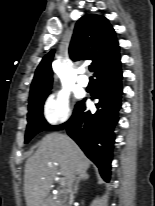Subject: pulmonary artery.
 Instances as JSON below:
<instances>
[{"mask_svg": "<svg viewBox=\"0 0 155 206\" xmlns=\"http://www.w3.org/2000/svg\"><path fill=\"white\" fill-rule=\"evenodd\" d=\"M79 85L86 87L89 84V79L88 77L85 75V70H81V74L79 75L78 79H77Z\"/></svg>", "mask_w": 155, "mask_h": 206, "instance_id": "e3ab8cb5", "label": "pulmonary artery"}]
</instances>
